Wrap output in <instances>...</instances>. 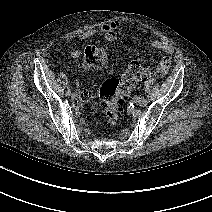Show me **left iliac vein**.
Segmentation results:
<instances>
[{
  "mask_svg": "<svg viewBox=\"0 0 212 212\" xmlns=\"http://www.w3.org/2000/svg\"><path fill=\"white\" fill-rule=\"evenodd\" d=\"M135 104H136V105L142 106V99H141L140 97H137V98L135 99Z\"/></svg>",
  "mask_w": 212,
  "mask_h": 212,
  "instance_id": "1",
  "label": "left iliac vein"
}]
</instances>
